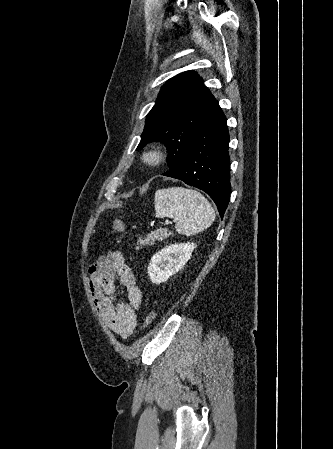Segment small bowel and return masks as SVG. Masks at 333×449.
I'll use <instances>...</instances> for the list:
<instances>
[{
  "instance_id": "1",
  "label": "small bowel",
  "mask_w": 333,
  "mask_h": 449,
  "mask_svg": "<svg viewBox=\"0 0 333 449\" xmlns=\"http://www.w3.org/2000/svg\"><path fill=\"white\" fill-rule=\"evenodd\" d=\"M89 286L94 305L106 325L121 337H128L137 328V312L142 293L132 268L119 251H111L97 259L88 270ZM126 293L125 301L116 297V282Z\"/></svg>"
}]
</instances>
